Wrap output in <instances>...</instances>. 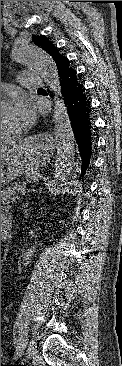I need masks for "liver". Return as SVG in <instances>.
<instances>
[{
    "label": "liver",
    "instance_id": "obj_1",
    "mask_svg": "<svg viewBox=\"0 0 122 366\" xmlns=\"http://www.w3.org/2000/svg\"><path fill=\"white\" fill-rule=\"evenodd\" d=\"M4 155H5V154H2V153H1V157H3Z\"/></svg>",
    "mask_w": 122,
    "mask_h": 366
}]
</instances>
